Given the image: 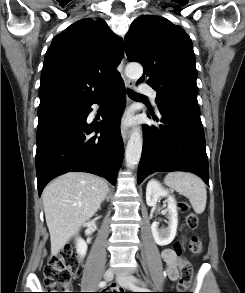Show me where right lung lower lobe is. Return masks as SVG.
Segmentation results:
<instances>
[{"label": "right lung lower lobe", "mask_w": 245, "mask_h": 293, "mask_svg": "<svg viewBox=\"0 0 245 293\" xmlns=\"http://www.w3.org/2000/svg\"><path fill=\"white\" fill-rule=\"evenodd\" d=\"M110 102L102 113V121L88 124L91 105ZM126 102L122 78L80 105L72 113L56 118L37 129L36 173L38 194L53 178L67 172H88L115 184L122 162L124 145L119 121ZM100 132V136H93Z\"/></svg>", "instance_id": "98d812e1"}]
</instances>
